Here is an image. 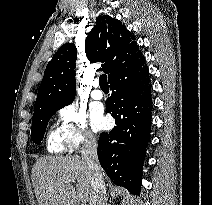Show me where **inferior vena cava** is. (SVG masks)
<instances>
[{
	"label": "inferior vena cava",
	"mask_w": 212,
	"mask_h": 205,
	"mask_svg": "<svg viewBox=\"0 0 212 205\" xmlns=\"http://www.w3.org/2000/svg\"><path fill=\"white\" fill-rule=\"evenodd\" d=\"M82 160L91 171L93 196L91 205H107L106 188L97 156V142L91 135H85L81 149Z\"/></svg>",
	"instance_id": "inferior-vena-cava-1"
}]
</instances>
